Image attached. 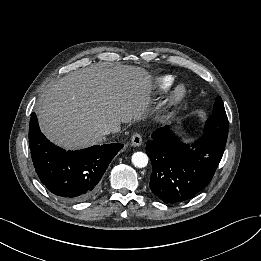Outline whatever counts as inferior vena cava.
<instances>
[{"instance_id":"602c4592","label":"inferior vena cava","mask_w":261,"mask_h":261,"mask_svg":"<svg viewBox=\"0 0 261 261\" xmlns=\"http://www.w3.org/2000/svg\"><path fill=\"white\" fill-rule=\"evenodd\" d=\"M120 131H121V124L120 123H112V124L106 125L103 128L102 133L104 135H108V134H116V133H119Z\"/></svg>"}]
</instances>
